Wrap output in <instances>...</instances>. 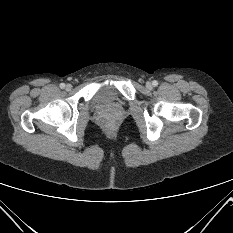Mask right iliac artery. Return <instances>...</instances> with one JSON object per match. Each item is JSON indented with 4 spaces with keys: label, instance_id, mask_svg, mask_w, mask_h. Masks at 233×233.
<instances>
[{
    "label": "right iliac artery",
    "instance_id": "right-iliac-artery-1",
    "mask_svg": "<svg viewBox=\"0 0 233 233\" xmlns=\"http://www.w3.org/2000/svg\"><path fill=\"white\" fill-rule=\"evenodd\" d=\"M60 88H61V89H64V88H65V84H64V83H61V84H60Z\"/></svg>",
    "mask_w": 233,
    "mask_h": 233
}]
</instances>
